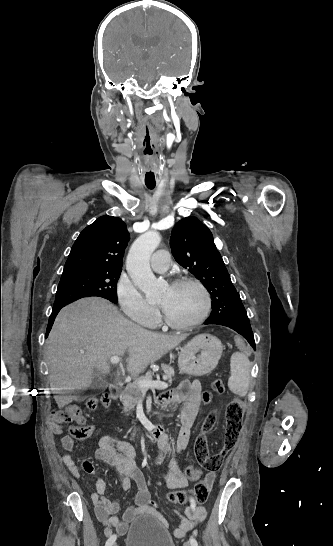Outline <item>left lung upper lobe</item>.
<instances>
[{
  "label": "left lung upper lobe",
  "mask_w": 333,
  "mask_h": 546,
  "mask_svg": "<svg viewBox=\"0 0 333 546\" xmlns=\"http://www.w3.org/2000/svg\"><path fill=\"white\" fill-rule=\"evenodd\" d=\"M170 247L175 260L193 273L209 291V319L229 323L247 312L233 286L210 230L195 217L180 220L172 230Z\"/></svg>",
  "instance_id": "obj_1"
}]
</instances>
